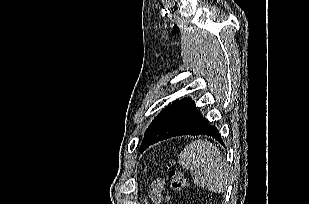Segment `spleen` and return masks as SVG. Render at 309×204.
I'll use <instances>...</instances> for the list:
<instances>
[{
    "instance_id": "3e777b00",
    "label": "spleen",
    "mask_w": 309,
    "mask_h": 204,
    "mask_svg": "<svg viewBox=\"0 0 309 204\" xmlns=\"http://www.w3.org/2000/svg\"><path fill=\"white\" fill-rule=\"evenodd\" d=\"M179 163L191 172L197 186L214 193L226 189L229 168L219 149L211 142L201 139L191 142L179 154Z\"/></svg>"
}]
</instances>
